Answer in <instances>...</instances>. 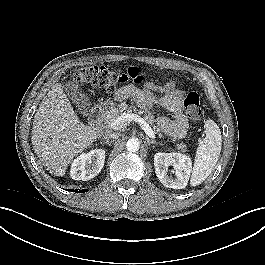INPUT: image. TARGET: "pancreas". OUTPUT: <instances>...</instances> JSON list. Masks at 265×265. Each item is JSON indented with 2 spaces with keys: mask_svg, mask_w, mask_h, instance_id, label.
<instances>
[{
  "mask_svg": "<svg viewBox=\"0 0 265 265\" xmlns=\"http://www.w3.org/2000/svg\"><path fill=\"white\" fill-rule=\"evenodd\" d=\"M131 111H132L131 107H129L126 103H121L116 108H114L111 111H109V113L105 117V124L107 126H109V123L110 122H112L113 120H115L116 118H118L119 116H121L122 114H124V113H130ZM144 118L151 125H153L154 122H155V119L151 115L150 112H148L145 115ZM153 128H154L155 132L159 134V137H162V134L160 133V129L158 127H156V126H153ZM176 148L178 150H181L182 152H186L187 151V147L183 143L176 144Z\"/></svg>",
  "mask_w": 265,
  "mask_h": 265,
  "instance_id": "pancreas-1",
  "label": "pancreas"
}]
</instances>
